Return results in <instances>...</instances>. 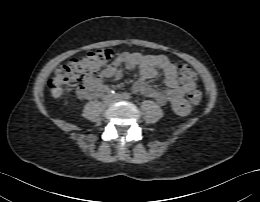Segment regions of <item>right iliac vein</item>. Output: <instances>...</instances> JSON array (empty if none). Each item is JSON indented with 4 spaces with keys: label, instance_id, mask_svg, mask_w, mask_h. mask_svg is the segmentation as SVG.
I'll return each instance as SVG.
<instances>
[{
    "label": "right iliac vein",
    "instance_id": "1",
    "mask_svg": "<svg viewBox=\"0 0 260 202\" xmlns=\"http://www.w3.org/2000/svg\"><path fill=\"white\" fill-rule=\"evenodd\" d=\"M105 100H106V102H110V101H111V98H110V97H107Z\"/></svg>",
    "mask_w": 260,
    "mask_h": 202
}]
</instances>
